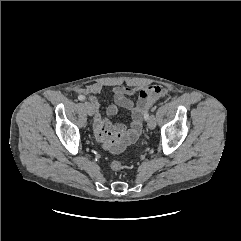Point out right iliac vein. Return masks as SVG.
<instances>
[{
    "mask_svg": "<svg viewBox=\"0 0 241 241\" xmlns=\"http://www.w3.org/2000/svg\"><path fill=\"white\" fill-rule=\"evenodd\" d=\"M84 106H85V109H86V112L88 113V115L92 116L94 114V107H93V105L90 102L85 101L84 102Z\"/></svg>",
    "mask_w": 241,
    "mask_h": 241,
    "instance_id": "63e3f726",
    "label": "right iliac vein"
}]
</instances>
